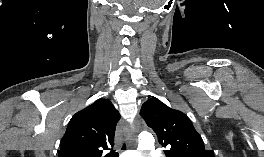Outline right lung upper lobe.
<instances>
[{
    "mask_svg": "<svg viewBox=\"0 0 264 157\" xmlns=\"http://www.w3.org/2000/svg\"><path fill=\"white\" fill-rule=\"evenodd\" d=\"M119 112L107 99H99L77 112L61 139L58 157H108L104 150L114 145Z\"/></svg>",
    "mask_w": 264,
    "mask_h": 157,
    "instance_id": "cb5924a9",
    "label": "right lung upper lobe"
}]
</instances>
